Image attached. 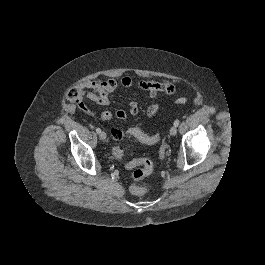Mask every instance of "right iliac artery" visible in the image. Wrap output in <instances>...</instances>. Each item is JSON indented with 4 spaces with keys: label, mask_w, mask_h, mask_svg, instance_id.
Returning <instances> with one entry per match:
<instances>
[{
    "label": "right iliac artery",
    "mask_w": 265,
    "mask_h": 265,
    "mask_svg": "<svg viewBox=\"0 0 265 265\" xmlns=\"http://www.w3.org/2000/svg\"><path fill=\"white\" fill-rule=\"evenodd\" d=\"M96 132L99 134V133H101V129L98 127V128H96Z\"/></svg>",
    "instance_id": "right-iliac-artery-1"
}]
</instances>
